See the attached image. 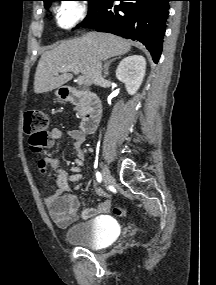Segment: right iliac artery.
Masks as SVG:
<instances>
[{
  "mask_svg": "<svg viewBox=\"0 0 216 285\" xmlns=\"http://www.w3.org/2000/svg\"><path fill=\"white\" fill-rule=\"evenodd\" d=\"M96 179H97V181L98 182H101L102 181V175H101V173L100 172H96Z\"/></svg>",
  "mask_w": 216,
  "mask_h": 285,
  "instance_id": "obj_1",
  "label": "right iliac artery"
}]
</instances>
